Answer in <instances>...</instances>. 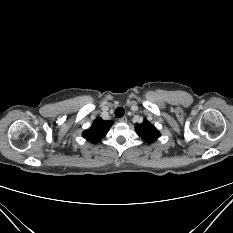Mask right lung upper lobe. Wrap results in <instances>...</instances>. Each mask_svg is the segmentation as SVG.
I'll list each match as a JSON object with an SVG mask.
<instances>
[{
    "mask_svg": "<svg viewBox=\"0 0 233 233\" xmlns=\"http://www.w3.org/2000/svg\"><path fill=\"white\" fill-rule=\"evenodd\" d=\"M112 124L113 121H105L97 118L94 120L91 128L82 133V136L91 143H97L107 134Z\"/></svg>",
    "mask_w": 233,
    "mask_h": 233,
    "instance_id": "cb5924a9",
    "label": "right lung upper lobe"
}]
</instances>
